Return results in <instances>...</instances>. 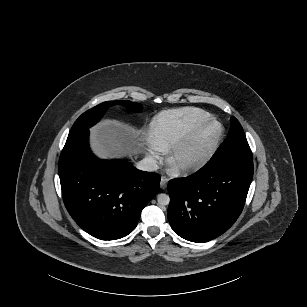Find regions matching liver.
Instances as JSON below:
<instances>
[{
    "label": "liver",
    "instance_id": "1",
    "mask_svg": "<svg viewBox=\"0 0 307 307\" xmlns=\"http://www.w3.org/2000/svg\"><path fill=\"white\" fill-rule=\"evenodd\" d=\"M90 131L91 148L103 159L132 157L140 152L146 140L143 130L116 119H104Z\"/></svg>",
    "mask_w": 307,
    "mask_h": 307
}]
</instances>
